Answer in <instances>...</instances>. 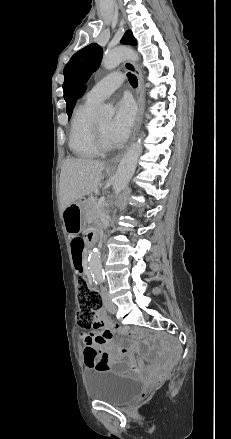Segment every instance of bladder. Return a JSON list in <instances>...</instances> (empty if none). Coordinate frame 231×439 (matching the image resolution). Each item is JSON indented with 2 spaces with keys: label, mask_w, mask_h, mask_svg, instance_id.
<instances>
[{
  "label": "bladder",
  "mask_w": 231,
  "mask_h": 439,
  "mask_svg": "<svg viewBox=\"0 0 231 439\" xmlns=\"http://www.w3.org/2000/svg\"><path fill=\"white\" fill-rule=\"evenodd\" d=\"M87 394L90 399L113 405H122L137 396L142 382L121 376L109 369H90L85 375Z\"/></svg>",
  "instance_id": "1"
}]
</instances>
